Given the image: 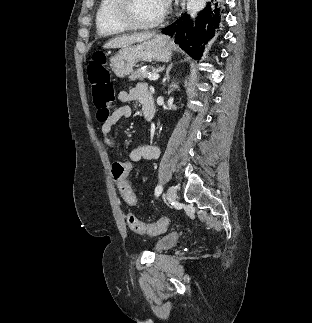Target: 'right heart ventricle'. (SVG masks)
I'll list each match as a JSON object with an SVG mask.
<instances>
[{"instance_id": "1", "label": "right heart ventricle", "mask_w": 312, "mask_h": 323, "mask_svg": "<svg viewBox=\"0 0 312 323\" xmlns=\"http://www.w3.org/2000/svg\"><path fill=\"white\" fill-rule=\"evenodd\" d=\"M118 10L117 1L97 0L94 11L97 29H102L103 33H119L120 29H127V22H123Z\"/></svg>"}]
</instances>
